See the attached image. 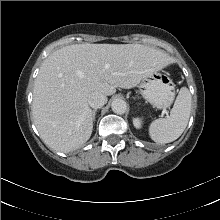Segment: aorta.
Listing matches in <instances>:
<instances>
[{"label":"aorta","mask_w":220,"mask_h":220,"mask_svg":"<svg viewBox=\"0 0 220 220\" xmlns=\"http://www.w3.org/2000/svg\"><path fill=\"white\" fill-rule=\"evenodd\" d=\"M111 108L116 114H124L127 110V104L122 99H115L111 103Z\"/></svg>","instance_id":"obj_1"}]
</instances>
